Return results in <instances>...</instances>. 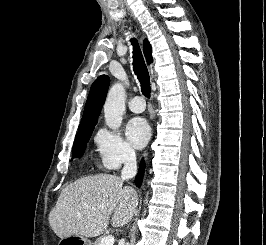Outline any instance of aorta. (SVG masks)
<instances>
[{
	"instance_id": "obj_1",
	"label": "aorta",
	"mask_w": 266,
	"mask_h": 245,
	"mask_svg": "<svg viewBox=\"0 0 266 245\" xmlns=\"http://www.w3.org/2000/svg\"><path fill=\"white\" fill-rule=\"evenodd\" d=\"M126 90L122 82H115L108 90L104 102L105 123L109 129H119L125 110Z\"/></svg>"
}]
</instances>
